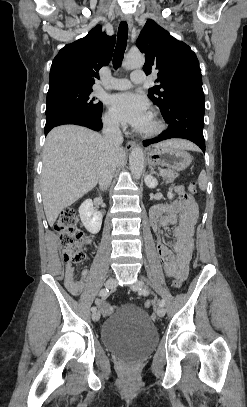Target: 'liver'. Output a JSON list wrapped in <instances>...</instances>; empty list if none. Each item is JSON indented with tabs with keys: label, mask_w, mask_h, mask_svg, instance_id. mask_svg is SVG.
<instances>
[{
	"label": "liver",
	"mask_w": 247,
	"mask_h": 407,
	"mask_svg": "<svg viewBox=\"0 0 247 407\" xmlns=\"http://www.w3.org/2000/svg\"><path fill=\"white\" fill-rule=\"evenodd\" d=\"M157 145L196 149L193 143L181 139ZM105 153L103 137L88 128L62 125L48 133L43 149L41 189L44 211L50 226H53L63 209L97 185ZM114 157L117 164L122 163L125 151L119 148Z\"/></svg>",
	"instance_id": "obj_1"
}]
</instances>
